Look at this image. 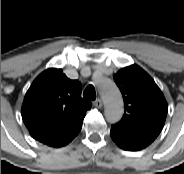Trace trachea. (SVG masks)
Masks as SVG:
<instances>
[{"label": "trachea", "instance_id": "obj_1", "mask_svg": "<svg viewBox=\"0 0 184 174\" xmlns=\"http://www.w3.org/2000/svg\"><path fill=\"white\" fill-rule=\"evenodd\" d=\"M83 97L89 100H95L96 99L95 88L92 85L87 86L83 92Z\"/></svg>", "mask_w": 184, "mask_h": 174}]
</instances>
